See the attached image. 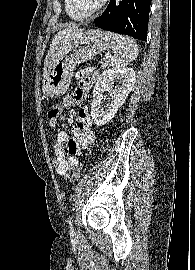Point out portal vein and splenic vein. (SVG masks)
I'll use <instances>...</instances> for the list:
<instances>
[{"mask_svg": "<svg viewBox=\"0 0 195 270\" xmlns=\"http://www.w3.org/2000/svg\"><path fill=\"white\" fill-rule=\"evenodd\" d=\"M105 57H106V58H110L111 55H110L109 53H107V54H105Z\"/></svg>", "mask_w": 195, "mask_h": 270, "instance_id": "1", "label": "portal vein and splenic vein"}]
</instances>
